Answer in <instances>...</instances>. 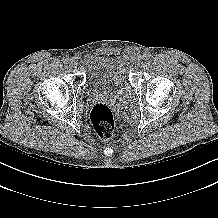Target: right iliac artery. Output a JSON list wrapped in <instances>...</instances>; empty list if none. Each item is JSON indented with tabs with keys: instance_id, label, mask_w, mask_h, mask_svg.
Instances as JSON below:
<instances>
[{
	"instance_id": "1",
	"label": "right iliac artery",
	"mask_w": 218,
	"mask_h": 218,
	"mask_svg": "<svg viewBox=\"0 0 218 218\" xmlns=\"http://www.w3.org/2000/svg\"><path fill=\"white\" fill-rule=\"evenodd\" d=\"M62 61H63V63H65V64L68 63L69 57H68V56L63 57Z\"/></svg>"
}]
</instances>
